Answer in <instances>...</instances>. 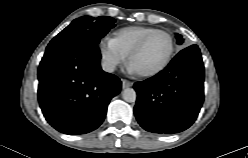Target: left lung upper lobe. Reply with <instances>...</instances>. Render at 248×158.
I'll list each match as a JSON object with an SVG mask.
<instances>
[{"instance_id": "left-lung-upper-lobe-1", "label": "left lung upper lobe", "mask_w": 248, "mask_h": 158, "mask_svg": "<svg viewBox=\"0 0 248 158\" xmlns=\"http://www.w3.org/2000/svg\"><path fill=\"white\" fill-rule=\"evenodd\" d=\"M176 39H177V43L178 44H182L183 43V39H182V36L180 34H176Z\"/></svg>"}]
</instances>
